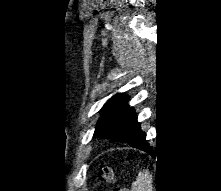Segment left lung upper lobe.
Returning <instances> with one entry per match:
<instances>
[{
    "label": "left lung upper lobe",
    "mask_w": 221,
    "mask_h": 191,
    "mask_svg": "<svg viewBox=\"0 0 221 191\" xmlns=\"http://www.w3.org/2000/svg\"><path fill=\"white\" fill-rule=\"evenodd\" d=\"M128 96L118 93L110 98L100 110L101 118L94 136L101 135L116 142H126L133 147H149L146 134L133 118L132 109L127 105Z\"/></svg>",
    "instance_id": "obj_1"
}]
</instances>
